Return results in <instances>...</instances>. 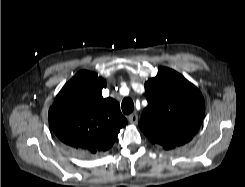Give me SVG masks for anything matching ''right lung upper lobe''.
<instances>
[{
	"mask_svg": "<svg viewBox=\"0 0 245 187\" xmlns=\"http://www.w3.org/2000/svg\"><path fill=\"white\" fill-rule=\"evenodd\" d=\"M103 78L89 71L77 73L56 96L49 109L55 135L68 147L89 155L107 151L127 124L118 103L103 98Z\"/></svg>",
	"mask_w": 245,
	"mask_h": 187,
	"instance_id": "obj_1",
	"label": "right lung upper lobe"
}]
</instances>
